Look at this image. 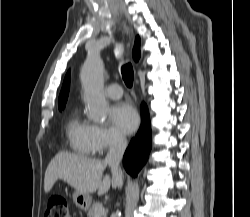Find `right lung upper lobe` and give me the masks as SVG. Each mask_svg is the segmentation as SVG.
<instances>
[{
  "mask_svg": "<svg viewBox=\"0 0 250 217\" xmlns=\"http://www.w3.org/2000/svg\"><path fill=\"white\" fill-rule=\"evenodd\" d=\"M133 58L135 61H138L140 58V38L139 36L136 37L134 48H133ZM69 87H70V72L65 76L62 89L59 95L58 99V107L59 110L63 109L65 107L67 98H68V93H69Z\"/></svg>",
  "mask_w": 250,
  "mask_h": 217,
  "instance_id": "cb5924a9",
  "label": "right lung upper lobe"
}]
</instances>
